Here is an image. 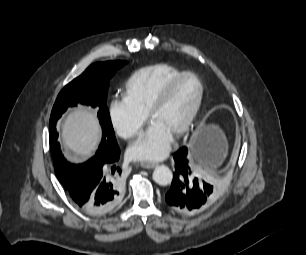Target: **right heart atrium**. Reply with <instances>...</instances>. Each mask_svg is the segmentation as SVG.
<instances>
[{"label":"right heart atrium","mask_w":306,"mask_h":255,"mask_svg":"<svg viewBox=\"0 0 306 255\" xmlns=\"http://www.w3.org/2000/svg\"><path fill=\"white\" fill-rule=\"evenodd\" d=\"M108 117L115 133L125 140L139 136L146 121L145 115L136 111L124 99L111 101Z\"/></svg>","instance_id":"1"}]
</instances>
